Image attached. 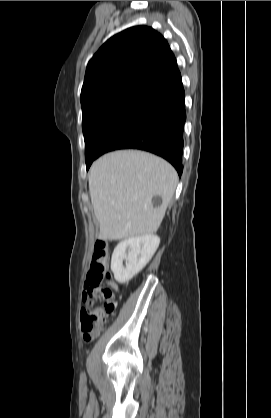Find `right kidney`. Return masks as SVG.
<instances>
[{
	"label": "right kidney",
	"instance_id": "right-kidney-1",
	"mask_svg": "<svg viewBox=\"0 0 271 418\" xmlns=\"http://www.w3.org/2000/svg\"><path fill=\"white\" fill-rule=\"evenodd\" d=\"M159 243L160 238L157 235H144L121 241L114 249L111 259V270L115 280L121 284L130 281L150 261Z\"/></svg>",
	"mask_w": 271,
	"mask_h": 418
}]
</instances>
